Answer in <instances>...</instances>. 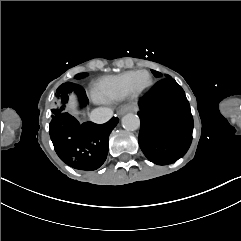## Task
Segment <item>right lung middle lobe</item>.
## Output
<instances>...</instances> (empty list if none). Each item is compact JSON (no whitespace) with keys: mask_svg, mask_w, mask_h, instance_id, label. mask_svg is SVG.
Instances as JSON below:
<instances>
[{"mask_svg":"<svg viewBox=\"0 0 241 241\" xmlns=\"http://www.w3.org/2000/svg\"><path fill=\"white\" fill-rule=\"evenodd\" d=\"M87 74L80 73L76 75L77 79H80L82 77H85ZM72 82H66L60 85L55 94L54 99L52 103V117L61 113H64L66 111V104L68 102V94L71 91L72 88Z\"/></svg>","mask_w":241,"mask_h":241,"instance_id":"1","label":"right lung middle lobe"}]
</instances>
